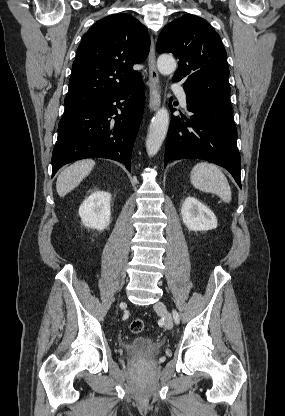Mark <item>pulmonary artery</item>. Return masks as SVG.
<instances>
[{"label":"pulmonary artery","mask_w":285,"mask_h":416,"mask_svg":"<svg viewBox=\"0 0 285 416\" xmlns=\"http://www.w3.org/2000/svg\"><path fill=\"white\" fill-rule=\"evenodd\" d=\"M174 91L179 98L180 104L183 109L187 108V93L182 85H176Z\"/></svg>","instance_id":"1"}]
</instances>
